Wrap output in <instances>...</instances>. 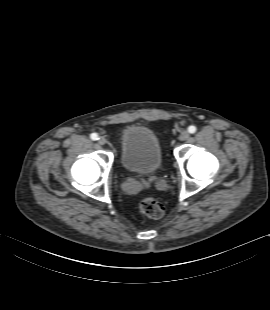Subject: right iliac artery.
Returning a JSON list of instances; mask_svg holds the SVG:
<instances>
[{"mask_svg": "<svg viewBox=\"0 0 270 310\" xmlns=\"http://www.w3.org/2000/svg\"><path fill=\"white\" fill-rule=\"evenodd\" d=\"M90 137H91V139L94 140V141H95V140H98V135H97L96 133H92Z\"/></svg>", "mask_w": 270, "mask_h": 310, "instance_id": "right-iliac-artery-1", "label": "right iliac artery"}]
</instances>
